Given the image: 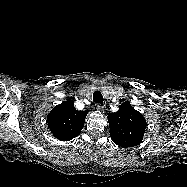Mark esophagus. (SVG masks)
<instances>
[{
    "label": "esophagus",
    "instance_id": "34e87169",
    "mask_svg": "<svg viewBox=\"0 0 187 187\" xmlns=\"http://www.w3.org/2000/svg\"><path fill=\"white\" fill-rule=\"evenodd\" d=\"M105 108H106L105 105H102V104H97V105H96V109H97L98 111H101V112H102V111L105 110Z\"/></svg>",
    "mask_w": 187,
    "mask_h": 187
}]
</instances>
